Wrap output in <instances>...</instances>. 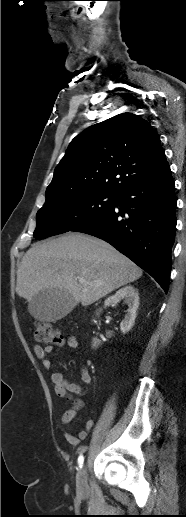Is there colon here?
<instances>
[{
  "label": "colon",
  "mask_w": 186,
  "mask_h": 517,
  "mask_svg": "<svg viewBox=\"0 0 186 517\" xmlns=\"http://www.w3.org/2000/svg\"><path fill=\"white\" fill-rule=\"evenodd\" d=\"M34 338L42 344H51L60 341L61 332L54 329L50 324L38 321L35 326Z\"/></svg>",
  "instance_id": "5ec220e1"
}]
</instances>
